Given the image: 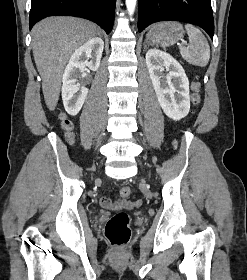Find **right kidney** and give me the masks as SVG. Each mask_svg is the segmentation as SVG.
<instances>
[{"mask_svg": "<svg viewBox=\"0 0 247 280\" xmlns=\"http://www.w3.org/2000/svg\"><path fill=\"white\" fill-rule=\"evenodd\" d=\"M103 48V40L95 37L77 48L69 59L62 78V100L66 112L72 116L79 113L88 94V89L79 84L80 73L86 67L92 71L99 68Z\"/></svg>", "mask_w": 247, "mask_h": 280, "instance_id": "1", "label": "right kidney"}]
</instances>
